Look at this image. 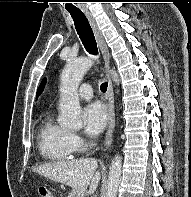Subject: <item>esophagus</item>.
I'll return each mask as SVG.
<instances>
[{"label":"esophagus","instance_id":"obj_1","mask_svg":"<svg viewBox=\"0 0 191 197\" xmlns=\"http://www.w3.org/2000/svg\"><path fill=\"white\" fill-rule=\"evenodd\" d=\"M86 17L97 39L100 51L102 53V56L105 62V68H106V75H107V81H108V88H107V93H106V100H107V106H108V127H107V131L105 135L104 146H105V149H107L112 144V136H113V132L115 128L114 92H113V86H112V82H111L110 75H109L110 53H109L107 44L104 40V37L101 31L99 30L95 20L89 13H86Z\"/></svg>","mask_w":191,"mask_h":197}]
</instances>
